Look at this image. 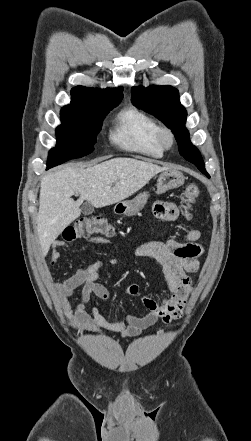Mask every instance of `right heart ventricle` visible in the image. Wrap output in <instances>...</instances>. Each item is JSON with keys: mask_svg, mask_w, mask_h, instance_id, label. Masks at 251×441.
<instances>
[{"mask_svg": "<svg viewBox=\"0 0 251 441\" xmlns=\"http://www.w3.org/2000/svg\"><path fill=\"white\" fill-rule=\"evenodd\" d=\"M158 123L134 106L120 110L110 130L111 142L120 149L150 158H161L164 150L156 140Z\"/></svg>", "mask_w": 251, "mask_h": 441, "instance_id": "right-heart-ventricle-1", "label": "right heart ventricle"}]
</instances>
